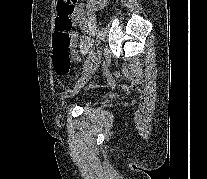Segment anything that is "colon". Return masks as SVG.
<instances>
[{"label":"colon","instance_id":"1","mask_svg":"<svg viewBox=\"0 0 207 179\" xmlns=\"http://www.w3.org/2000/svg\"><path fill=\"white\" fill-rule=\"evenodd\" d=\"M77 0H59L55 18V32L53 36L54 53L53 67L58 76H65L71 68L70 45L72 36V16ZM118 77V75H115Z\"/></svg>","mask_w":207,"mask_h":179}]
</instances>
